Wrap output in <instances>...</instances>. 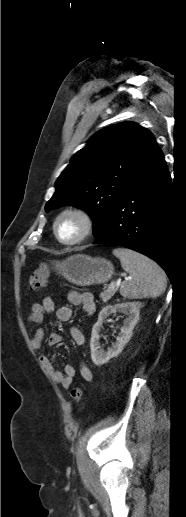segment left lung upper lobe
I'll list each match as a JSON object with an SVG mask.
<instances>
[{"label":"left lung upper lobe","instance_id":"obj_1","mask_svg":"<svg viewBox=\"0 0 186 517\" xmlns=\"http://www.w3.org/2000/svg\"><path fill=\"white\" fill-rule=\"evenodd\" d=\"M160 152L154 136L133 122L97 132L70 160L45 209L73 205L94 221V235L115 205Z\"/></svg>","mask_w":186,"mask_h":517}]
</instances>
